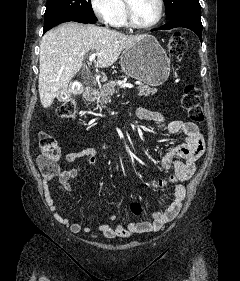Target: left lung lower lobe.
<instances>
[{"label": "left lung lower lobe", "mask_w": 240, "mask_h": 281, "mask_svg": "<svg viewBox=\"0 0 240 281\" xmlns=\"http://www.w3.org/2000/svg\"><path fill=\"white\" fill-rule=\"evenodd\" d=\"M176 27H184L192 30L198 35L199 39L202 41L201 35H202L203 26L201 23L200 15L191 14V13L179 15L174 19L170 20L164 26L158 29H152L151 31L168 30Z\"/></svg>", "instance_id": "1"}]
</instances>
